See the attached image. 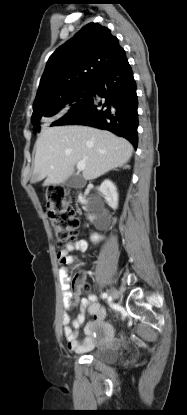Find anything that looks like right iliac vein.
<instances>
[{
    "label": "right iliac vein",
    "instance_id": "63e3f726",
    "mask_svg": "<svg viewBox=\"0 0 187 415\" xmlns=\"http://www.w3.org/2000/svg\"><path fill=\"white\" fill-rule=\"evenodd\" d=\"M109 295H110V297H111L113 300H116V299L118 298V296H119V293H118V291H117L115 288H111V289L109 290Z\"/></svg>",
    "mask_w": 187,
    "mask_h": 415
}]
</instances>
